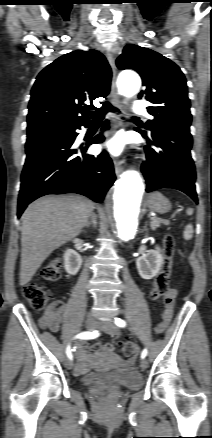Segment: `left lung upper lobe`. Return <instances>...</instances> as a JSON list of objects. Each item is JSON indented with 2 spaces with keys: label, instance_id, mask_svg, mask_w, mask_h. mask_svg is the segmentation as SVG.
I'll return each mask as SVG.
<instances>
[{
  "label": "left lung upper lobe",
  "instance_id": "5c2ea615",
  "mask_svg": "<svg viewBox=\"0 0 212 438\" xmlns=\"http://www.w3.org/2000/svg\"><path fill=\"white\" fill-rule=\"evenodd\" d=\"M116 63L120 70L133 69L142 77L145 91L139 98L145 94L146 100L152 103L148 112L154 116L145 124L146 129L190 127L186 79L175 63L151 49L131 44L125 46Z\"/></svg>",
  "mask_w": 212,
  "mask_h": 438
}]
</instances>
